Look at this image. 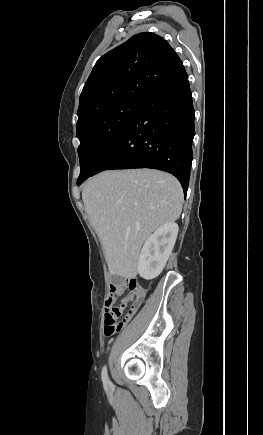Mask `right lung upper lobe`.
<instances>
[{
  "instance_id": "cb5924a9",
  "label": "right lung upper lobe",
  "mask_w": 263,
  "mask_h": 435,
  "mask_svg": "<svg viewBox=\"0 0 263 435\" xmlns=\"http://www.w3.org/2000/svg\"><path fill=\"white\" fill-rule=\"evenodd\" d=\"M162 37L143 32L103 55L80 95L77 126L98 107L118 100L145 101L182 68Z\"/></svg>"
}]
</instances>
